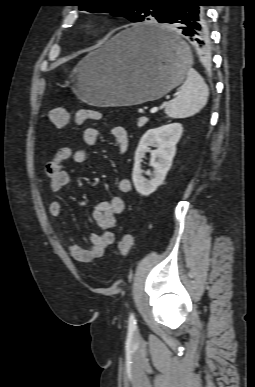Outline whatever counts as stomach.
<instances>
[{
    "mask_svg": "<svg viewBox=\"0 0 255 387\" xmlns=\"http://www.w3.org/2000/svg\"><path fill=\"white\" fill-rule=\"evenodd\" d=\"M150 30L164 28L153 22L131 26L83 58L67 81L79 99L102 107L131 106L160 99L180 85L191 63L188 45L170 31L179 50L167 53L145 39L143 32Z\"/></svg>",
    "mask_w": 255,
    "mask_h": 387,
    "instance_id": "0dacf381",
    "label": "stomach"
}]
</instances>
